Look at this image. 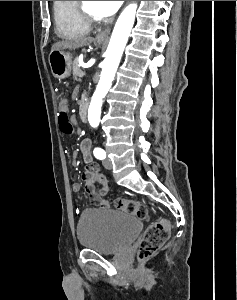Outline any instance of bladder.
<instances>
[{
    "mask_svg": "<svg viewBox=\"0 0 237 300\" xmlns=\"http://www.w3.org/2000/svg\"><path fill=\"white\" fill-rule=\"evenodd\" d=\"M142 229L139 218L118 210L85 211L77 224L79 244L100 254L112 255L127 249Z\"/></svg>",
    "mask_w": 237,
    "mask_h": 300,
    "instance_id": "bladder-1",
    "label": "bladder"
}]
</instances>
